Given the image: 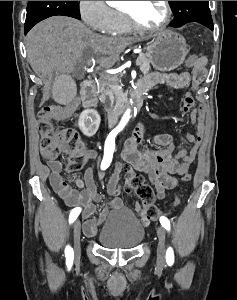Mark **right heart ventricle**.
<instances>
[{"mask_svg": "<svg viewBox=\"0 0 237 300\" xmlns=\"http://www.w3.org/2000/svg\"><path fill=\"white\" fill-rule=\"evenodd\" d=\"M131 30H132V28L126 21L122 12L117 11L116 12V30H115V32L119 33V34H124V33L130 32Z\"/></svg>", "mask_w": 237, "mask_h": 300, "instance_id": "right-heart-ventricle-1", "label": "right heart ventricle"}]
</instances>
